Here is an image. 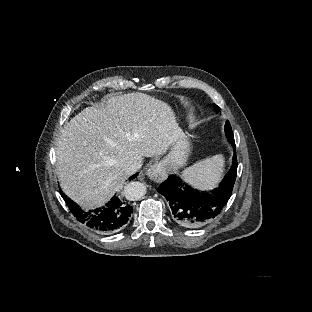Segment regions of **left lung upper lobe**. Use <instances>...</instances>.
<instances>
[{
	"mask_svg": "<svg viewBox=\"0 0 312 312\" xmlns=\"http://www.w3.org/2000/svg\"><path fill=\"white\" fill-rule=\"evenodd\" d=\"M214 107L218 111V109H219L218 106L214 105ZM225 132H226V136H227L228 140L230 142H234V135H233L232 128H231L229 121H226Z\"/></svg>",
	"mask_w": 312,
	"mask_h": 312,
	"instance_id": "5c2ea615",
	"label": "left lung upper lobe"
}]
</instances>
